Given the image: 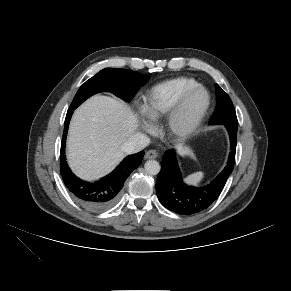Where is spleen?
Masks as SVG:
<instances>
[{"label": "spleen", "mask_w": 291, "mask_h": 291, "mask_svg": "<svg viewBox=\"0 0 291 291\" xmlns=\"http://www.w3.org/2000/svg\"><path fill=\"white\" fill-rule=\"evenodd\" d=\"M203 176L204 174L202 172L193 173L186 178V182L196 185L202 180Z\"/></svg>", "instance_id": "3e777b00"}]
</instances>
